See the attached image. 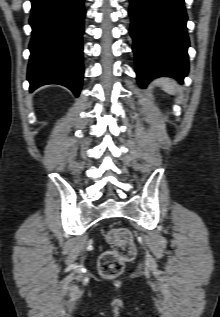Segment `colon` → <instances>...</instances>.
<instances>
[{"label":"colon","instance_id":"1","mask_svg":"<svg viewBox=\"0 0 220 317\" xmlns=\"http://www.w3.org/2000/svg\"><path fill=\"white\" fill-rule=\"evenodd\" d=\"M107 239L113 249L101 255L99 271L105 278H114L122 273L125 263L135 258L136 245L131 232L123 227L111 229Z\"/></svg>","mask_w":220,"mask_h":317}]
</instances>
